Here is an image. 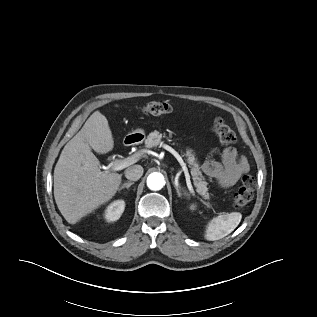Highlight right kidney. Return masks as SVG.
Wrapping results in <instances>:
<instances>
[{
	"instance_id": "obj_1",
	"label": "right kidney",
	"mask_w": 317,
	"mask_h": 317,
	"mask_svg": "<svg viewBox=\"0 0 317 317\" xmlns=\"http://www.w3.org/2000/svg\"><path fill=\"white\" fill-rule=\"evenodd\" d=\"M124 209V200H116L105 209L103 216L107 222H113L120 218Z\"/></svg>"
}]
</instances>
